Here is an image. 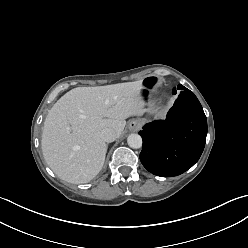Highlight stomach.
Segmentation results:
<instances>
[{
    "mask_svg": "<svg viewBox=\"0 0 248 248\" xmlns=\"http://www.w3.org/2000/svg\"><path fill=\"white\" fill-rule=\"evenodd\" d=\"M144 121H145V120H140L139 122H140V123H144Z\"/></svg>",
    "mask_w": 248,
    "mask_h": 248,
    "instance_id": "0dacf381",
    "label": "stomach"
}]
</instances>
